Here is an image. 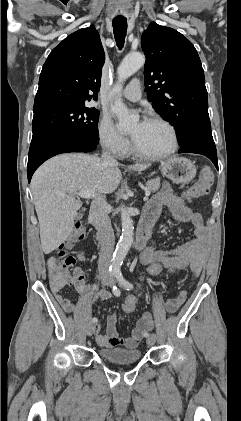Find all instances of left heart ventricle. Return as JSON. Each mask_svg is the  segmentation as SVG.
Listing matches in <instances>:
<instances>
[{"label": "left heart ventricle", "instance_id": "b2bd125f", "mask_svg": "<svg viewBox=\"0 0 241 421\" xmlns=\"http://www.w3.org/2000/svg\"><path fill=\"white\" fill-rule=\"evenodd\" d=\"M137 147L149 154L166 151L171 145L169 130L160 123L137 122L129 131Z\"/></svg>", "mask_w": 241, "mask_h": 421}]
</instances>
